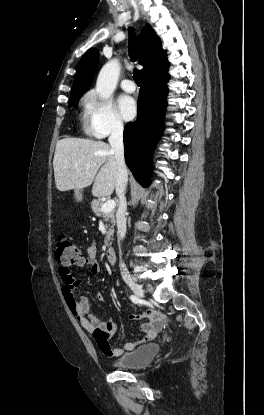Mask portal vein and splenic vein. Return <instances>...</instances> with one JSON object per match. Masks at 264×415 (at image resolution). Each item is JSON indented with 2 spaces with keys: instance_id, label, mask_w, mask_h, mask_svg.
Segmentation results:
<instances>
[{
  "instance_id": "obj_1",
  "label": "portal vein and splenic vein",
  "mask_w": 264,
  "mask_h": 415,
  "mask_svg": "<svg viewBox=\"0 0 264 415\" xmlns=\"http://www.w3.org/2000/svg\"><path fill=\"white\" fill-rule=\"evenodd\" d=\"M116 206V203L114 200H108L107 202H105L102 207H101V211L103 213H108L111 212L112 210H114Z\"/></svg>"
}]
</instances>
